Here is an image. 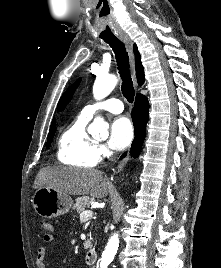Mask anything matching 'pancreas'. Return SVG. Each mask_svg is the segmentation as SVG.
I'll return each instance as SVG.
<instances>
[{"instance_id":"cf45deb5","label":"pancreas","mask_w":221,"mask_h":268,"mask_svg":"<svg viewBox=\"0 0 221 268\" xmlns=\"http://www.w3.org/2000/svg\"><path fill=\"white\" fill-rule=\"evenodd\" d=\"M94 198L89 196H83L76 199L75 204L73 205V210H76L77 212H82L85 210V208H89L91 204L94 202ZM89 243V241H87ZM88 246H91L90 243Z\"/></svg>"}]
</instances>
